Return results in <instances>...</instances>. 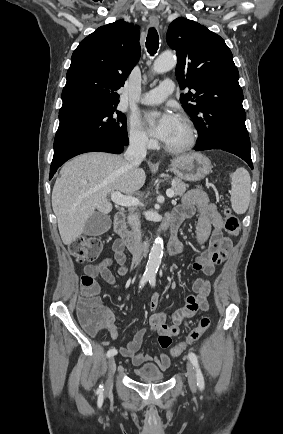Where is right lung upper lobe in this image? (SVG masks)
Masks as SVG:
<instances>
[{
  "mask_svg": "<svg viewBox=\"0 0 283 434\" xmlns=\"http://www.w3.org/2000/svg\"><path fill=\"white\" fill-rule=\"evenodd\" d=\"M140 31L124 20L99 27L72 54L59 116L117 107L116 91L140 58Z\"/></svg>",
  "mask_w": 283,
  "mask_h": 434,
  "instance_id": "right-lung-upper-lobe-1",
  "label": "right lung upper lobe"
}]
</instances>
